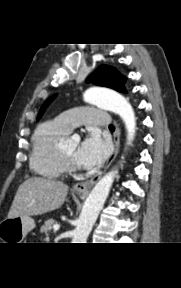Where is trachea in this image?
<instances>
[{
  "instance_id": "trachea-1",
  "label": "trachea",
  "mask_w": 181,
  "mask_h": 288,
  "mask_svg": "<svg viewBox=\"0 0 181 288\" xmlns=\"http://www.w3.org/2000/svg\"><path fill=\"white\" fill-rule=\"evenodd\" d=\"M109 129L114 131L115 127L113 125H109Z\"/></svg>"
}]
</instances>
